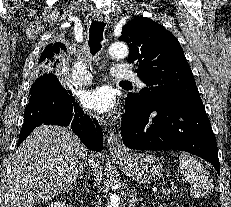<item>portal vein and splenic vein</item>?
I'll return each instance as SVG.
<instances>
[{
    "mask_svg": "<svg viewBox=\"0 0 231 207\" xmlns=\"http://www.w3.org/2000/svg\"><path fill=\"white\" fill-rule=\"evenodd\" d=\"M171 191H170V189H164L163 191H162V194H168V193H170Z\"/></svg>",
    "mask_w": 231,
    "mask_h": 207,
    "instance_id": "1",
    "label": "portal vein and splenic vein"
}]
</instances>
